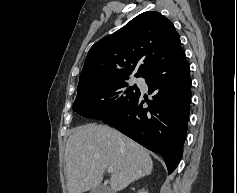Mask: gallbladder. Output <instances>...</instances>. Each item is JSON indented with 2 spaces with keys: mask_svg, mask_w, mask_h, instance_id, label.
I'll return each mask as SVG.
<instances>
[{
  "mask_svg": "<svg viewBox=\"0 0 237 193\" xmlns=\"http://www.w3.org/2000/svg\"><path fill=\"white\" fill-rule=\"evenodd\" d=\"M90 193H110L108 186L99 184L91 189Z\"/></svg>",
  "mask_w": 237,
  "mask_h": 193,
  "instance_id": "obj_1",
  "label": "gallbladder"
}]
</instances>
